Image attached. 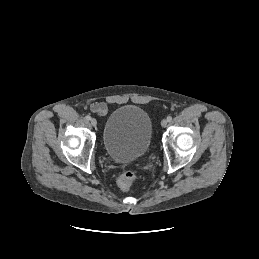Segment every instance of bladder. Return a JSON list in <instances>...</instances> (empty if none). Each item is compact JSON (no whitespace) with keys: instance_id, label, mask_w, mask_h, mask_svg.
<instances>
[{"instance_id":"1","label":"bladder","mask_w":259,"mask_h":259,"mask_svg":"<svg viewBox=\"0 0 259 259\" xmlns=\"http://www.w3.org/2000/svg\"><path fill=\"white\" fill-rule=\"evenodd\" d=\"M151 143L152 122L140 107L120 106L108 116L102 133V145L113 160L133 162L149 151Z\"/></svg>"}]
</instances>
